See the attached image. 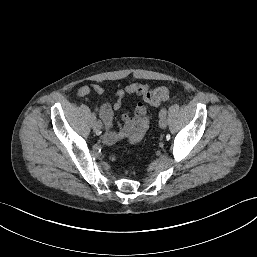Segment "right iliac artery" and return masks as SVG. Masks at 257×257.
Wrapping results in <instances>:
<instances>
[{"mask_svg": "<svg viewBox=\"0 0 257 257\" xmlns=\"http://www.w3.org/2000/svg\"><path fill=\"white\" fill-rule=\"evenodd\" d=\"M96 119H97V118H96L95 112H92V113H91V120H92V122L95 123V122H96Z\"/></svg>", "mask_w": 257, "mask_h": 257, "instance_id": "82829eb1", "label": "right iliac artery"}]
</instances>
